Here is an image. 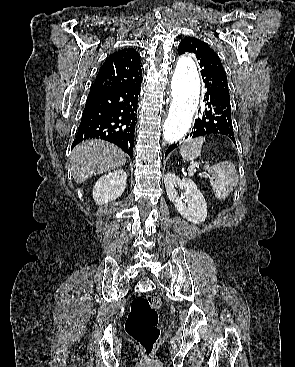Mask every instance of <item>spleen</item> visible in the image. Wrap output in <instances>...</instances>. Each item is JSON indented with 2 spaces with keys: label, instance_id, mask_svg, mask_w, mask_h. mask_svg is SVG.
Instances as JSON below:
<instances>
[{
  "label": "spleen",
  "instance_id": "obj_1",
  "mask_svg": "<svg viewBox=\"0 0 295 367\" xmlns=\"http://www.w3.org/2000/svg\"><path fill=\"white\" fill-rule=\"evenodd\" d=\"M204 142L205 138L199 137L186 141L180 148V154L183 160L190 161L191 163L189 168L190 172L196 166L194 159L201 156ZM204 168L215 178V181L212 183L215 197L218 200H225L239 181L234 164L230 161H224L210 166L209 162H206Z\"/></svg>",
  "mask_w": 295,
  "mask_h": 367
}]
</instances>
